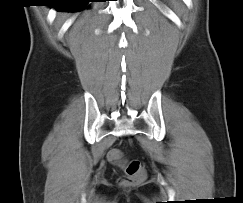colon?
<instances>
[{"mask_svg":"<svg viewBox=\"0 0 243 203\" xmlns=\"http://www.w3.org/2000/svg\"><path fill=\"white\" fill-rule=\"evenodd\" d=\"M108 157L112 162L120 165L124 169V175L119 179L121 185H136L145 178V172L138 160L125 163L121 152L117 149L111 150Z\"/></svg>","mask_w":243,"mask_h":203,"instance_id":"5ec220e1","label":"colon"}]
</instances>
